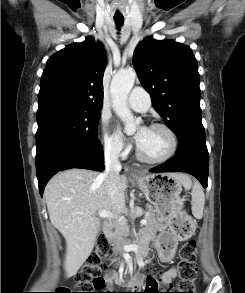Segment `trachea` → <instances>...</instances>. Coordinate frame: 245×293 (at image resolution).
Wrapping results in <instances>:
<instances>
[{"mask_svg":"<svg viewBox=\"0 0 245 293\" xmlns=\"http://www.w3.org/2000/svg\"><path fill=\"white\" fill-rule=\"evenodd\" d=\"M115 21V24L118 26V27H121L124 23V18H118V19H114Z\"/></svg>","mask_w":245,"mask_h":293,"instance_id":"3493384b","label":"trachea"}]
</instances>
